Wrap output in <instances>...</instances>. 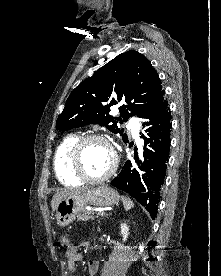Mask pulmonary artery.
Here are the masks:
<instances>
[{
    "label": "pulmonary artery",
    "instance_id": "1",
    "mask_svg": "<svg viewBox=\"0 0 221 276\" xmlns=\"http://www.w3.org/2000/svg\"><path fill=\"white\" fill-rule=\"evenodd\" d=\"M132 132L135 137H138L139 126L136 123H132Z\"/></svg>",
    "mask_w": 221,
    "mask_h": 276
}]
</instances>
